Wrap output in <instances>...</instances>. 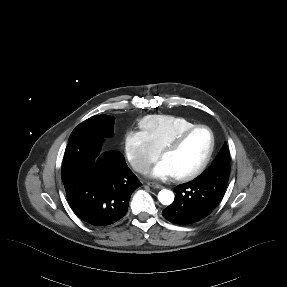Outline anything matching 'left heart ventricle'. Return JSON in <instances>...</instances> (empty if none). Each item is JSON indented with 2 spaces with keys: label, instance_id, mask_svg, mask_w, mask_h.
<instances>
[{
  "label": "left heart ventricle",
  "instance_id": "1",
  "mask_svg": "<svg viewBox=\"0 0 287 287\" xmlns=\"http://www.w3.org/2000/svg\"><path fill=\"white\" fill-rule=\"evenodd\" d=\"M210 147L208 131L199 129L193 132L175 151L162 157L172 176L187 174L196 169L206 157Z\"/></svg>",
  "mask_w": 287,
  "mask_h": 287
}]
</instances>
